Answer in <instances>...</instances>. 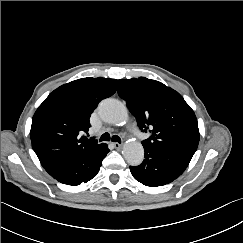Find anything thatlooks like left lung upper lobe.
<instances>
[{"mask_svg":"<svg viewBox=\"0 0 243 243\" xmlns=\"http://www.w3.org/2000/svg\"><path fill=\"white\" fill-rule=\"evenodd\" d=\"M118 94L139 128L151 133L143 145L195 153L200 138L197 119L178 92L156 80L139 77L120 79Z\"/></svg>","mask_w":243,"mask_h":243,"instance_id":"1","label":"left lung upper lobe"}]
</instances>
